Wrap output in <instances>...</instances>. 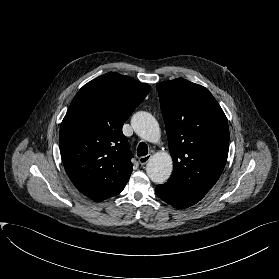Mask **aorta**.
<instances>
[{
    "instance_id": "obj_1",
    "label": "aorta",
    "mask_w": 279,
    "mask_h": 279,
    "mask_svg": "<svg viewBox=\"0 0 279 279\" xmlns=\"http://www.w3.org/2000/svg\"><path fill=\"white\" fill-rule=\"evenodd\" d=\"M135 133L149 142H157L160 138V127L157 120L148 112H137L131 120ZM173 170L172 158L168 153L160 152L149 160L146 172L151 181L164 183L171 176Z\"/></svg>"
}]
</instances>
